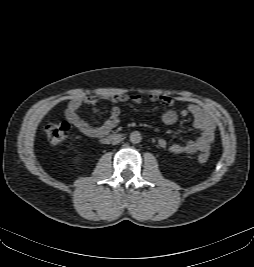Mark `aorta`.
Returning <instances> with one entry per match:
<instances>
[{"instance_id": "762f6f07", "label": "aorta", "mask_w": 254, "mask_h": 267, "mask_svg": "<svg viewBox=\"0 0 254 267\" xmlns=\"http://www.w3.org/2000/svg\"><path fill=\"white\" fill-rule=\"evenodd\" d=\"M141 140H142V136H141L140 132H138V131L131 132L130 141L132 143L137 144V143L141 142Z\"/></svg>"}]
</instances>
